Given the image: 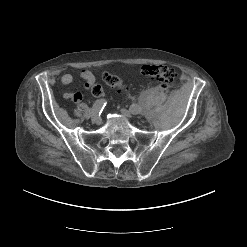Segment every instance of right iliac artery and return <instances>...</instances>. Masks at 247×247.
Here are the masks:
<instances>
[{
    "label": "right iliac artery",
    "instance_id": "1",
    "mask_svg": "<svg viewBox=\"0 0 247 247\" xmlns=\"http://www.w3.org/2000/svg\"><path fill=\"white\" fill-rule=\"evenodd\" d=\"M107 102L104 99H100L97 100L92 108L91 111L94 112L96 115L100 114L102 112V110L104 109V107L106 106Z\"/></svg>",
    "mask_w": 247,
    "mask_h": 247
}]
</instances>
